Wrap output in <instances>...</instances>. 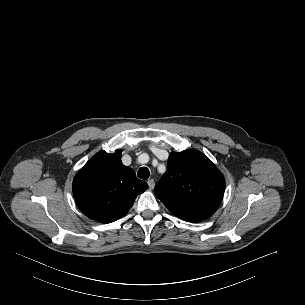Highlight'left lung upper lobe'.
<instances>
[{
    "instance_id": "obj_1",
    "label": "left lung upper lobe",
    "mask_w": 305,
    "mask_h": 305,
    "mask_svg": "<svg viewBox=\"0 0 305 305\" xmlns=\"http://www.w3.org/2000/svg\"><path fill=\"white\" fill-rule=\"evenodd\" d=\"M225 191L224 177L201 152H172L166 173L154 188L156 196L178 218L198 222L219 207Z\"/></svg>"
}]
</instances>
